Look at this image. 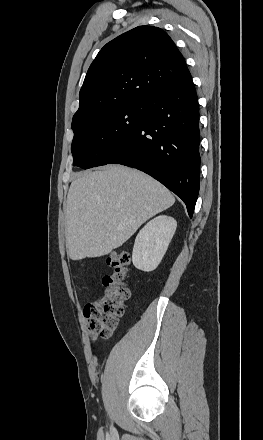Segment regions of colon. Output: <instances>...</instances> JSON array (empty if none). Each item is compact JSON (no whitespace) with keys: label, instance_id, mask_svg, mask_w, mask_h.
<instances>
[{"label":"colon","instance_id":"5ec220e1","mask_svg":"<svg viewBox=\"0 0 263 440\" xmlns=\"http://www.w3.org/2000/svg\"><path fill=\"white\" fill-rule=\"evenodd\" d=\"M111 275L102 278V292L85 307V318L94 338L109 339L124 313V302L130 291L124 279L130 264L126 252L115 251L108 256Z\"/></svg>","mask_w":263,"mask_h":440}]
</instances>
